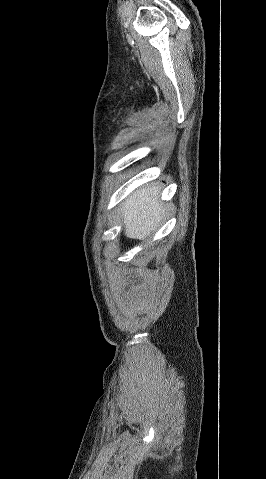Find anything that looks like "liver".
Returning a JSON list of instances; mask_svg holds the SVG:
<instances>
[{"instance_id": "1", "label": "liver", "mask_w": 266, "mask_h": 479, "mask_svg": "<svg viewBox=\"0 0 266 479\" xmlns=\"http://www.w3.org/2000/svg\"><path fill=\"white\" fill-rule=\"evenodd\" d=\"M166 207L159 201L156 186L134 191L121 207L124 233L129 238L147 239L161 225Z\"/></svg>"}]
</instances>
